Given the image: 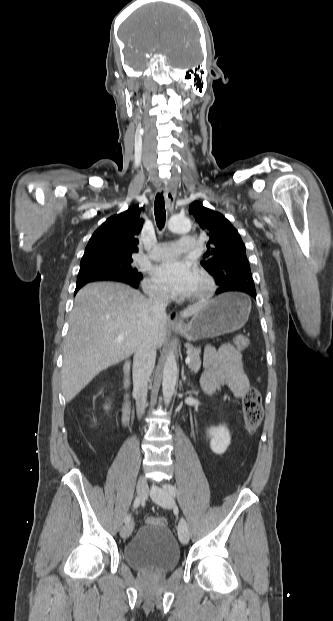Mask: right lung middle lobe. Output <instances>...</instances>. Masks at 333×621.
Returning a JSON list of instances; mask_svg holds the SVG:
<instances>
[{
  "label": "right lung middle lobe",
  "instance_id": "1",
  "mask_svg": "<svg viewBox=\"0 0 333 621\" xmlns=\"http://www.w3.org/2000/svg\"><path fill=\"white\" fill-rule=\"evenodd\" d=\"M132 257H100L82 259L79 276L103 275L140 280L142 274L132 266Z\"/></svg>",
  "mask_w": 333,
  "mask_h": 621
}]
</instances>
